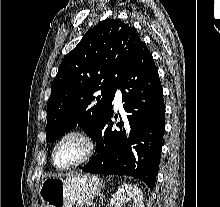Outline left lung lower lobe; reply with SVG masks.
Returning a JSON list of instances; mask_svg holds the SVG:
<instances>
[{
  "instance_id": "0a47b994",
  "label": "left lung lower lobe",
  "mask_w": 220,
  "mask_h": 207,
  "mask_svg": "<svg viewBox=\"0 0 220 207\" xmlns=\"http://www.w3.org/2000/svg\"><path fill=\"white\" fill-rule=\"evenodd\" d=\"M116 89L122 92L126 118L115 128L111 109L92 137L97 142L96 153L82 170L133 176L152 190L161 157L165 105L158 70L144 42L136 49Z\"/></svg>"
}]
</instances>
